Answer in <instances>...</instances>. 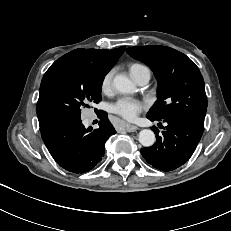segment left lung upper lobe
<instances>
[{"label":"left lung upper lobe","instance_id":"left-lung-upper-lobe-1","mask_svg":"<svg viewBox=\"0 0 231 231\" xmlns=\"http://www.w3.org/2000/svg\"><path fill=\"white\" fill-rule=\"evenodd\" d=\"M126 52L142 61L158 81V100L147 116L183 118L204 125L207 96L198 67L183 53L165 46H139Z\"/></svg>","mask_w":231,"mask_h":231}]
</instances>
